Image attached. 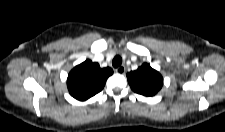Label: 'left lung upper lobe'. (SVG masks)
<instances>
[{"label": "left lung upper lobe", "mask_w": 225, "mask_h": 132, "mask_svg": "<svg viewBox=\"0 0 225 132\" xmlns=\"http://www.w3.org/2000/svg\"><path fill=\"white\" fill-rule=\"evenodd\" d=\"M127 79L131 89L144 96L155 95L163 85L161 74L147 63L127 73Z\"/></svg>", "instance_id": "obj_1"}]
</instances>
